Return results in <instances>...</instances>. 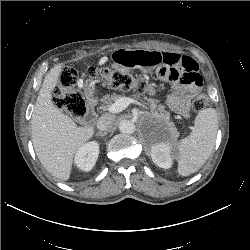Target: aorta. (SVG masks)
<instances>
[{
	"instance_id": "762f6f07",
	"label": "aorta",
	"mask_w": 250,
	"mask_h": 250,
	"mask_svg": "<svg viewBox=\"0 0 250 250\" xmlns=\"http://www.w3.org/2000/svg\"><path fill=\"white\" fill-rule=\"evenodd\" d=\"M136 130L135 124L130 120H122L119 123V131L124 134H132Z\"/></svg>"
}]
</instances>
